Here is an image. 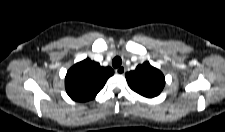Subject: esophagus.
I'll list each match as a JSON object with an SVG mask.
<instances>
[{"label":"esophagus","instance_id":"esophagus-1","mask_svg":"<svg viewBox=\"0 0 225 132\" xmlns=\"http://www.w3.org/2000/svg\"><path fill=\"white\" fill-rule=\"evenodd\" d=\"M125 71H126V69L124 66H120L115 70V72L119 75H123L125 73Z\"/></svg>","mask_w":225,"mask_h":132}]
</instances>
